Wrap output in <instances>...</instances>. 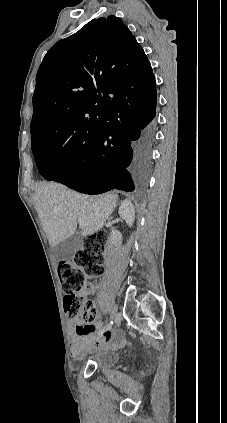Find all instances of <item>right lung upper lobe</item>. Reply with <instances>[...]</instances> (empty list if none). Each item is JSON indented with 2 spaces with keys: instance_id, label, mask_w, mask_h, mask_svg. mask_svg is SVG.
Returning <instances> with one entry per match:
<instances>
[{
  "instance_id": "obj_1",
  "label": "right lung upper lobe",
  "mask_w": 227,
  "mask_h": 423,
  "mask_svg": "<svg viewBox=\"0 0 227 423\" xmlns=\"http://www.w3.org/2000/svg\"><path fill=\"white\" fill-rule=\"evenodd\" d=\"M155 91L150 62L128 27L113 15L93 19L45 55L36 76L31 142L95 139L112 104Z\"/></svg>"
}]
</instances>
